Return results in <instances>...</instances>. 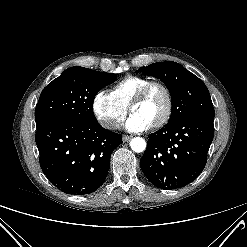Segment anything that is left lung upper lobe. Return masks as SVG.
I'll use <instances>...</instances> for the list:
<instances>
[{"instance_id":"left-lung-upper-lobe-1","label":"left lung upper lobe","mask_w":247,"mask_h":247,"mask_svg":"<svg viewBox=\"0 0 247 247\" xmlns=\"http://www.w3.org/2000/svg\"><path fill=\"white\" fill-rule=\"evenodd\" d=\"M160 79L172 97V113L167 124L183 117L200 116L214 120V108L205 84L194 74L173 61L153 63L139 69Z\"/></svg>"}]
</instances>
